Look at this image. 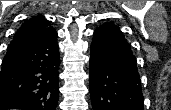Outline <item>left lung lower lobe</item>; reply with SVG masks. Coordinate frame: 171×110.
Returning <instances> with one entry per match:
<instances>
[{"label": "left lung lower lobe", "instance_id": "0a47b994", "mask_svg": "<svg viewBox=\"0 0 171 110\" xmlns=\"http://www.w3.org/2000/svg\"><path fill=\"white\" fill-rule=\"evenodd\" d=\"M136 58L119 27L105 23L94 31L90 56L93 110H143Z\"/></svg>", "mask_w": 171, "mask_h": 110}]
</instances>
